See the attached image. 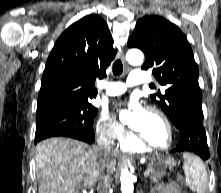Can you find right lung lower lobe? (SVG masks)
<instances>
[{
  "label": "right lung lower lobe",
  "instance_id": "obj_1",
  "mask_svg": "<svg viewBox=\"0 0 221 193\" xmlns=\"http://www.w3.org/2000/svg\"><path fill=\"white\" fill-rule=\"evenodd\" d=\"M74 138V137H72ZM77 139V138H76ZM79 140H82V141H85L87 143H92L94 141V136L93 137H83V139H79ZM39 142V141H35V144Z\"/></svg>",
  "mask_w": 221,
  "mask_h": 193
}]
</instances>
